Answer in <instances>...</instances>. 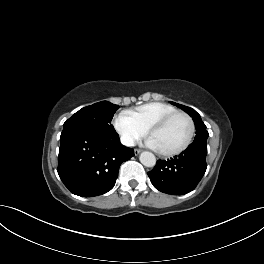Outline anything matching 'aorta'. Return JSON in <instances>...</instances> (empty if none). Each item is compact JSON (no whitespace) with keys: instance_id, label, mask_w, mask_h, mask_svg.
I'll return each mask as SVG.
<instances>
[{"instance_id":"aorta-1","label":"aorta","mask_w":264,"mask_h":264,"mask_svg":"<svg viewBox=\"0 0 264 264\" xmlns=\"http://www.w3.org/2000/svg\"><path fill=\"white\" fill-rule=\"evenodd\" d=\"M140 162L146 167H154L156 164V157L153 153L144 151L140 154Z\"/></svg>"}]
</instances>
